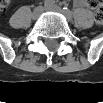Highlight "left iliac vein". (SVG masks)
I'll return each mask as SVG.
<instances>
[{"instance_id":"4c4485c4","label":"left iliac vein","mask_w":103,"mask_h":103,"mask_svg":"<svg viewBox=\"0 0 103 103\" xmlns=\"http://www.w3.org/2000/svg\"><path fill=\"white\" fill-rule=\"evenodd\" d=\"M46 10L47 11H55V12H58V13H61V14H65L64 11L59 7V6H48L46 7Z\"/></svg>"}]
</instances>
